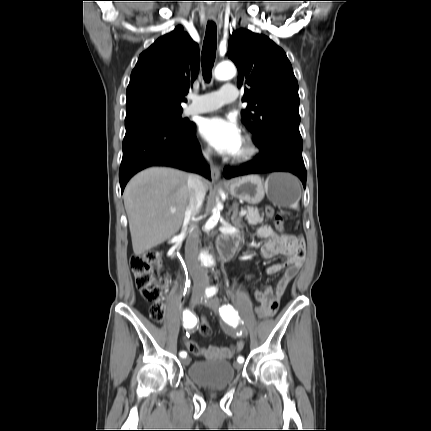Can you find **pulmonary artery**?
<instances>
[{
    "label": "pulmonary artery",
    "instance_id": "obj_1",
    "mask_svg": "<svg viewBox=\"0 0 431 431\" xmlns=\"http://www.w3.org/2000/svg\"><path fill=\"white\" fill-rule=\"evenodd\" d=\"M238 97L235 85L226 83L219 90L202 95H192V103L185 109L187 115L201 114L219 109L223 105L233 102Z\"/></svg>",
    "mask_w": 431,
    "mask_h": 431
}]
</instances>
